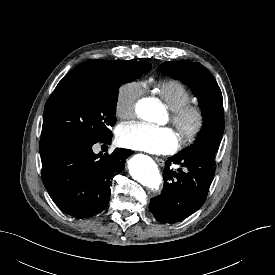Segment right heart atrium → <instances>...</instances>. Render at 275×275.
<instances>
[{
  "instance_id": "obj_1",
  "label": "right heart atrium",
  "mask_w": 275,
  "mask_h": 275,
  "mask_svg": "<svg viewBox=\"0 0 275 275\" xmlns=\"http://www.w3.org/2000/svg\"><path fill=\"white\" fill-rule=\"evenodd\" d=\"M144 94V87L138 81L122 84L116 93L114 109L121 119H129L135 115L138 100Z\"/></svg>"
}]
</instances>
